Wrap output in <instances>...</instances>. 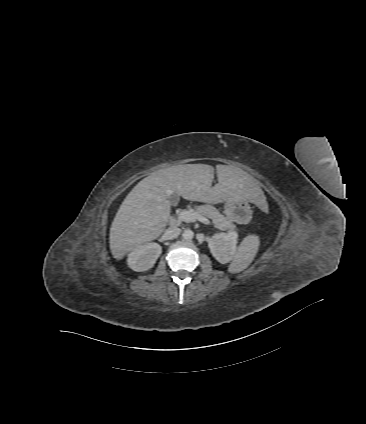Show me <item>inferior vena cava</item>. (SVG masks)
Listing matches in <instances>:
<instances>
[{
  "mask_svg": "<svg viewBox=\"0 0 366 424\" xmlns=\"http://www.w3.org/2000/svg\"><path fill=\"white\" fill-rule=\"evenodd\" d=\"M181 233L180 228L178 227H169L165 232L166 239L172 240L177 238Z\"/></svg>",
  "mask_w": 366,
  "mask_h": 424,
  "instance_id": "obj_1",
  "label": "inferior vena cava"
}]
</instances>
